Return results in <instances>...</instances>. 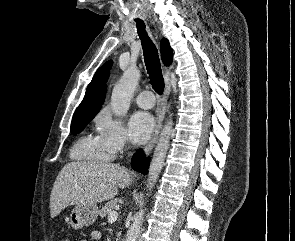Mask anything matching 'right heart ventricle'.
<instances>
[{
    "label": "right heart ventricle",
    "instance_id": "1",
    "mask_svg": "<svg viewBox=\"0 0 295 241\" xmlns=\"http://www.w3.org/2000/svg\"><path fill=\"white\" fill-rule=\"evenodd\" d=\"M71 157L80 161H108L112 155L99 136H83L73 146Z\"/></svg>",
    "mask_w": 295,
    "mask_h": 241
}]
</instances>
